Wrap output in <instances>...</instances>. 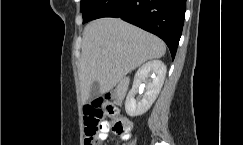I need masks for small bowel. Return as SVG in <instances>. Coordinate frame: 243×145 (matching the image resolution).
<instances>
[{
    "mask_svg": "<svg viewBox=\"0 0 243 145\" xmlns=\"http://www.w3.org/2000/svg\"><path fill=\"white\" fill-rule=\"evenodd\" d=\"M128 122H129V129L126 132L119 134L121 136V138L124 140H128L131 136L130 135L131 122L129 120H128ZM111 127H112L111 121H109V120L103 121L100 133L98 135V139L101 141L106 140L108 137L109 131L111 130Z\"/></svg>",
    "mask_w": 243,
    "mask_h": 145,
    "instance_id": "c3829d8e",
    "label": "small bowel"
}]
</instances>
